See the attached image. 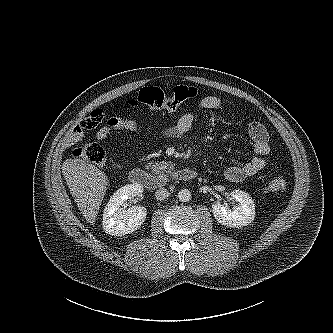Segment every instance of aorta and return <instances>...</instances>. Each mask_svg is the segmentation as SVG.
I'll use <instances>...</instances> for the list:
<instances>
[{
	"instance_id": "aorta-1",
	"label": "aorta",
	"mask_w": 333,
	"mask_h": 333,
	"mask_svg": "<svg viewBox=\"0 0 333 333\" xmlns=\"http://www.w3.org/2000/svg\"><path fill=\"white\" fill-rule=\"evenodd\" d=\"M178 198L181 202H189L191 200V192L188 189H181L178 192Z\"/></svg>"
}]
</instances>
